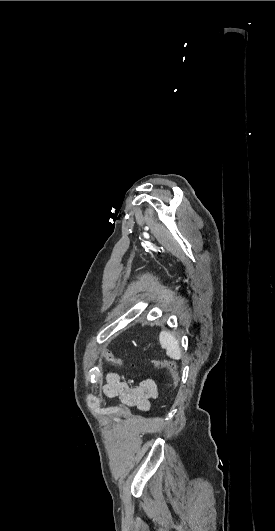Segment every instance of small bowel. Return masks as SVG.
Returning <instances> with one entry per match:
<instances>
[{
    "label": "small bowel",
    "instance_id": "c3829d8e",
    "mask_svg": "<svg viewBox=\"0 0 275 531\" xmlns=\"http://www.w3.org/2000/svg\"><path fill=\"white\" fill-rule=\"evenodd\" d=\"M107 398L118 397L123 406L137 408L142 412L150 410V401L159 397L158 384L151 378H143L138 381L126 379L117 371L109 372L106 383L102 388Z\"/></svg>",
    "mask_w": 275,
    "mask_h": 531
}]
</instances>
